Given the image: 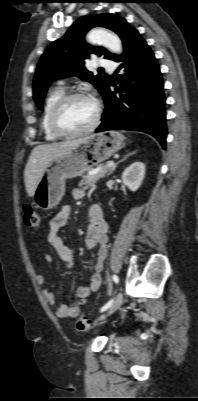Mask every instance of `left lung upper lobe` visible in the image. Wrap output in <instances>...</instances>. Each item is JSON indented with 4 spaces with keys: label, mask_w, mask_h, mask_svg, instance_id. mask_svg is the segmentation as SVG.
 <instances>
[{
    "label": "left lung upper lobe",
    "mask_w": 198,
    "mask_h": 401,
    "mask_svg": "<svg viewBox=\"0 0 198 401\" xmlns=\"http://www.w3.org/2000/svg\"><path fill=\"white\" fill-rule=\"evenodd\" d=\"M102 26L117 33L125 46L134 28L119 16L105 13L96 16L87 15L79 18L59 40L53 42L42 55L33 82V97L42 109L43 99L50 83L61 76L76 74L83 80L92 83L102 94L106 80L101 75H93L83 66L84 59L90 53L105 55L106 59L117 57L103 47H93L84 41V36L93 27Z\"/></svg>",
    "instance_id": "left-lung-upper-lobe-1"
}]
</instances>
